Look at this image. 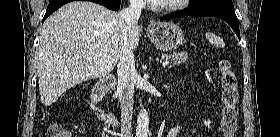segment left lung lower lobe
I'll return each instance as SVG.
<instances>
[{
	"label": "left lung lower lobe",
	"mask_w": 280,
	"mask_h": 137,
	"mask_svg": "<svg viewBox=\"0 0 280 137\" xmlns=\"http://www.w3.org/2000/svg\"><path fill=\"white\" fill-rule=\"evenodd\" d=\"M203 16V17H217L227 22L235 31L237 37L240 39L239 21L236 17L234 9L226 7H200L184 9L180 12L163 16L160 21L180 16Z\"/></svg>",
	"instance_id": "left-lung-lower-lobe-1"
}]
</instances>
